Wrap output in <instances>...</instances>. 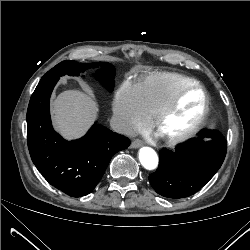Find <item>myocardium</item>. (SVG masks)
I'll return each instance as SVG.
<instances>
[{"mask_svg":"<svg viewBox=\"0 0 250 250\" xmlns=\"http://www.w3.org/2000/svg\"><path fill=\"white\" fill-rule=\"evenodd\" d=\"M197 90L202 93L203 105L199 117L186 130L172 135H163L160 129L165 120L174 112L181 98L189 91ZM210 111V98L206 89L198 84L192 83L180 88L169 100V102L157 113L152 123L153 132L157 137L166 144L174 145L184 142L193 137L204 125Z\"/></svg>","mask_w":250,"mask_h":250,"instance_id":"myocardium-1","label":"myocardium"}]
</instances>
